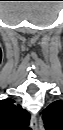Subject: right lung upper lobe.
I'll list each match as a JSON object with an SVG mask.
<instances>
[{
  "label": "right lung upper lobe",
  "mask_w": 63,
  "mask_h": 130,
  "mask_svg": "<svg viewBox=\"0 0 63 130\" xmlns=\"http://www.w3.org/2000/svg\"><path fill=\"white\" fill-rule=\"evenodd\" d=\"M13 99L0 101V122L5 130H23L30 121V114Z\"/></svg>",
  "instance_id": "right-lung-upper-lobe-1"
}]
</instances>
